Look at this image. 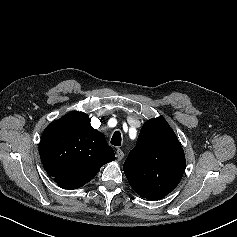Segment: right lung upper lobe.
I'll return each instance as SVG.
<instances>
[{
    "instance_id": "obj_1",
    "label": "right lung upper lobe",
    "mask_w": 237,
    "mask_h": 237,
    "mask_svg": "<svg viewBox=\"0 0 237 237\" xmlns=\"http://www.w3.org/2000/svg\"><path fill=\"white\" fill-rule=\"evenodd\" d=\"M40 158L46 172L63 189H77L115 160L105 136L92 128L83 112H70L51 122L42 134Z\"/></svg>"
}]
</instances>
